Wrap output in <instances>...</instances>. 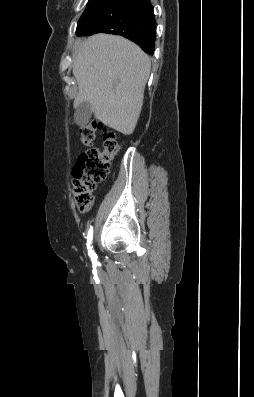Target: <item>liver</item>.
I'll return each instance as SVG.
<instances>
[{
	"label": "liver",
	"instance_id": "obj_1",
	"mask_svg": "<svg viewBox=\"0 0 254 397\" xmlns=\"http://www.w3.org/2000/svg\"><path fill=\"white\" fill-rule=\"evenodd\" d=\"M73 52L79 90L75 107L89 102L96 119L124 135L132 134L150 75L148 55L121 36L102 33L77 39Z\"/></svg>",
	"mask_w": 254,
	"mask_h": 397
}]
</instances>
